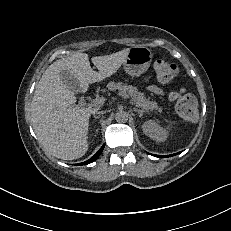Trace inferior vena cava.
<instances>
[{
    "label": "inferior vena cava",
    "mask_w": 231,
    "mask_h": 231,
    "mask_svg": "<svg viewBox=\"0 0 231 231\" xmlns=\"http://www.w3.org/2000/svg\"><path fill=\"white\" fill-rule=\"evenodd\" d=\"M92 113H93L94 115H95V114H103L104 111H97V110H96V111H93Z\"/></svg>",
    "instance_id": "602c4592"
}]
</instances>
